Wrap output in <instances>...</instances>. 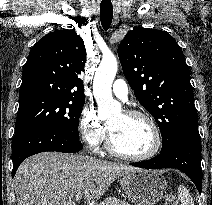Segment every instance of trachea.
Segmentation results:
<instances>
[{"mask_svg": "<svg viewBox=\"0 0 212 205\" xmlns=\"http://www.w3.org/2000/svg\"><path fill=\"white\" fill-rule=\"evenodd\" d=\"M100 19L102 26L105 30L109 29L113 19V6L112 4L100 5Z\"/></svg>", "mask_w": 212, "mask_h": 205, "instance_id": "obj_1", "label": "trachea"}]
</instances>
